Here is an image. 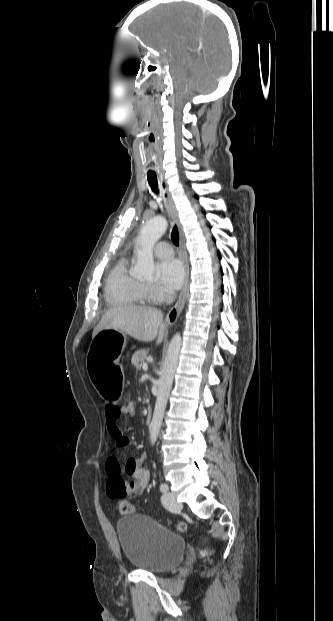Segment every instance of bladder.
<instances>
[{
	"label": "bladder",
	"instance_id": "obj_1",
	"mask_svg": "<svg viewBox=\"0 0 333 621\" xmlns=\"http://www.w3.org/2000/svg\"><path fill=\"white\" fill-rule=\"evenodd\" d=\"M116 531L125 558L137 570L163 573L184 558V538L146 515L133 514L120 518Z\"/></svg>",
	"mask_w": 333,
	"mask_h": 621
}]
</instances>
